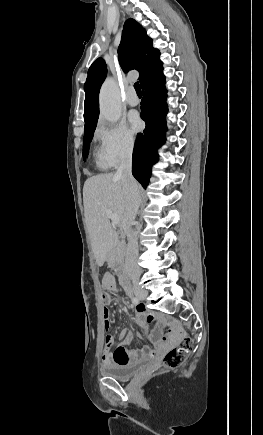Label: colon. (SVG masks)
I'll return each mask as SVG.
<instances>
[{
	"instance_id": "5ec220e1",
	"label": "colon",
	"mask_w": 263,
	"mask_h": 435,
	"mask_svg": "<svg viewBox=\"0 0 263 435\" xmlns=\"http://www.w3.org/2000/svg\"><path fill=\"white\" fill-rule=\"evenodd\" d=\"M106 294H102V300L106 299ZM104 350H113L114 348V335L106 333L103 336ZM193 341L190 337L186 336L182 339L180 345L176 348L169 350L163 357L162 368L172 369L182 364L192 350Z\"/></svg>"
}]
</instances>
